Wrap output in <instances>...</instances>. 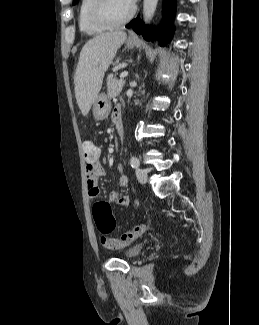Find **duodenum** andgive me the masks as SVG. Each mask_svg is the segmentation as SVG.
Here are the masks:
<instances>
[{"label": "duodenum", "instance_id": "1", "mask_svg": "<svg viewBox=\"0 0 259 325\" xmlns=\"http://www.w3.org/2000/svg\"><path fill=\"white\" fill-rule=\"evenodd\" d=\"M114 125L117 130V133L119 135L120 140L123 138V131H124V126H123V120H122V115L117 114L114 118Z\"/></svg>", "mask_w": 259, "mask_h": 325}]
</instances>
